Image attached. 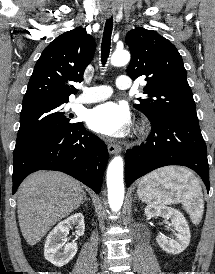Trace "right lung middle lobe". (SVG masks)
Returning <instances> with one entry per match:
<instances>
[{"label":"right lung middle lobe","instance_id":"right-lung-middle-lobe-1","mask_svg":"<svg viewBox=\"0 0 215 274\" xmlns=\"http://www.w3.org/2000/svg\"><path fill=\"white\" fill-rule=\"evenodd\" d=\"M64 103L66 102H39L22 107L13 159L37 142L78 124L71 121L72 117L64 112Z\"/></svg>","mask_w":215,"mask_h":274}]
</instances>
